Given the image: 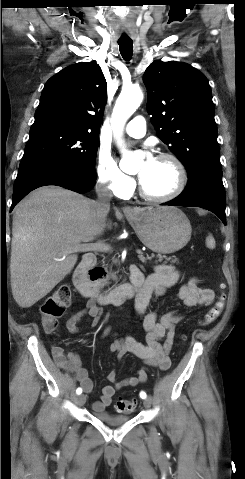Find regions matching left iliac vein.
Here are the masks:
<instances>
[{
	"label": "left iliac vein",
	"instance_id": "obj_1",
	"mask_svg": "<svg viewBox=\"0 0 245 479\" xmlns=\"http://www.w3.org/2000/svg\"><path fill=\"white\" fill-rule=\"evenodd\" d=\"M143 405H144L145 408H150V406H151V400H150L149 398L145 399V400L143 401Z\"/></svg>",
	"mask_w": 245,
	"mask_h": 479
}]
</instances>
